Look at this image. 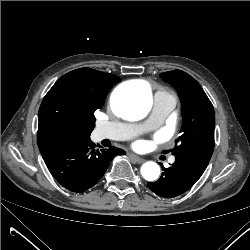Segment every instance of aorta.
Instances as JSON below:
<instances>
[{
    "label": "aorta",
    "instance_id": "762f6f07",
    "mask_svg": "<svg viewBox=\"0 0 250 250\" xmlns=\"http://www.w3.org/2000/svg\"><path fill=\"white\" fill-rule=\"evenodd\" d=\"M152 105V95L147 85H124L117 88L112 97V106L117 114L128 120L143 119ZM141 174L147 181L159 177L160 167L149 161L142 165Z\"/></svg>",
    "mask_w": 250,
    "mask_h": 250
}]
</instances>
